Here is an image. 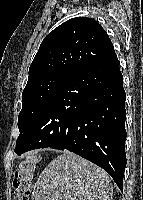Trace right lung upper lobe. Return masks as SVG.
<instances>
[{
  "label": "right lung upper lobe",
  "instance_id": "1",
  "mask_svg": "<svg viewBox=\"0 0 143 200\" xmlns=\"http://www.w3.org/2000/svg\"><path fill=\"white\" fill-rule=\"evenodd\" d=\"M112 52V42L97 21L72 18L44 38L30 65L27 84L50 74L72 75Z\"/></svg>",
  "mask_w": 143,
  "mask_h": 200
}]
</instances>
